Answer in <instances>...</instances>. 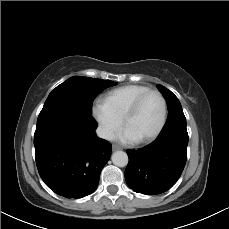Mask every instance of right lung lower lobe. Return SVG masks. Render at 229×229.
<instances>
[{
	"instance_id": "obj_1",
	"label": "right lung lower lobe",
	"mask_w": 229,
	"mask_h": 229,
	"mask_svg": "<svg viewBox=\"0 0 229 229\" xmlns=\"http://www.w3.org/2000/svg\"><path fill=\"white\" fill-rule=\"evenodd\" d=\"M91 114L61 109L40 113L34 134L41 179L56 194L81 198L95 191L111 145L96 136Z\"/></svg>"
}]
</instances>
